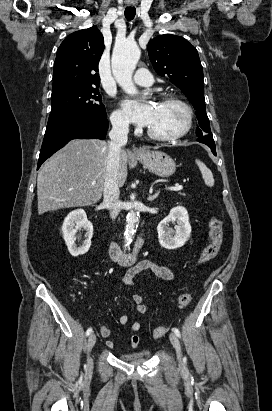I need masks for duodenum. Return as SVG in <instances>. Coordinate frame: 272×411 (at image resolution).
<instances>
[{
  "label": "duodenum",
  "mask_w": 272,
  "mask_h": 411,
  "mask_svg": "<svg viewBox=\"0 0 272 411\" xmlns=\"http://www.w3.org/2000/svg\"><path fill=\"white\" fill-rule=\"evenodd\" d=\"M144 243V233H140L130 252H123L118 245L112 244L110 246L111 258L123 266L134 264L144 247Z\"/></svg>",
  "instance_id": "obj_1"
}]
</instances>
